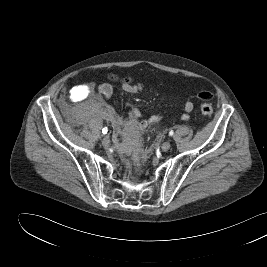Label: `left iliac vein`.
Listing matches in <instances>:
<instances>
[{"instance_id": "1", "label": "left iliac vein", "mask_w": 267, "mask_h": 267, "mask_svg": "<svg viewBox=\"0 0 267 267\" xmlns=\"http://www.w3.org/2000/svg\"><path fill=\"white\" fill-rule=\"evenodd\" d=\"M170 147H171L170 142L169 141H165L162 144L161 149H162L163 152H166V151H168L170 149Z\"/></svg>"}]
</instances>
